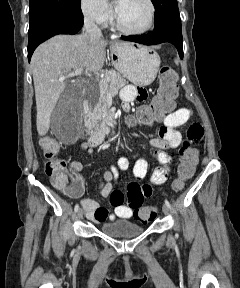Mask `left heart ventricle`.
I'll use <instances>...</instances> for the list:
<instances>
[{
  "label": "left heart ventricle",
  "mask_w": 240,
  "mask_h": 288,
  "mask_svg": "<svg viewBox=\"0 0 240 288\" xmlns=\"http://www.w3.org/2000/svg\"><path fill=\"white\" fill-rule=\"evenodd\" d=\"M117 12L125 26L132 30H141L150 22L151 11L146 0H118Z\"/></svg>",
  "instance_id": "1"
}]
</instances>
